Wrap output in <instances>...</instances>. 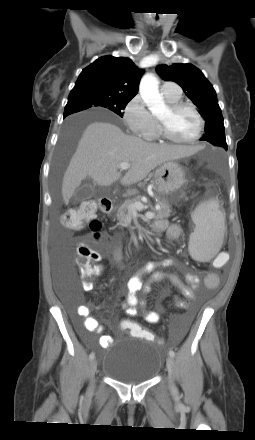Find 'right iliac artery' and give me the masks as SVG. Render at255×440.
<instances>
[{
  "instance_id": "obj_1",
  "label": "right iliac artery",
  "mask_w": 255,
  "mask_h": 440,
  "mask_svg": "<svg viewBox=\"0 0 255 440\" xmlns=\"http://www.w3.org/2000/svg\"><path fill=\"white\" fill-rule=\"evenodd\" d=\"M94 357H95V354H94L93 352L90 353V355H89V359L92 360V359H94Z\"/></svg>"
}]
</instances>
